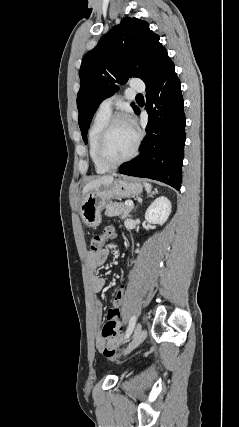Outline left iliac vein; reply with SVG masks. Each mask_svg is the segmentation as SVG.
Here are the masks:
<instances>
[{"mask_svg": "<svg viewBox=\"0 0 239 427\" xmlns=\"http://www.w3.org/2000/svg\"><path fill=\"white\" fill-rule=\"evenodd\" d=\"M146 336V330L142 329L141 324H138L135 328L133 339L124 351V354L131 352L133 349L139 346L145 340Z\"/></svg>", "mask_w": 239, "mask_h": 427, "instance_id": "obj_1", "label": "left iliac vein"}]
</instances>
